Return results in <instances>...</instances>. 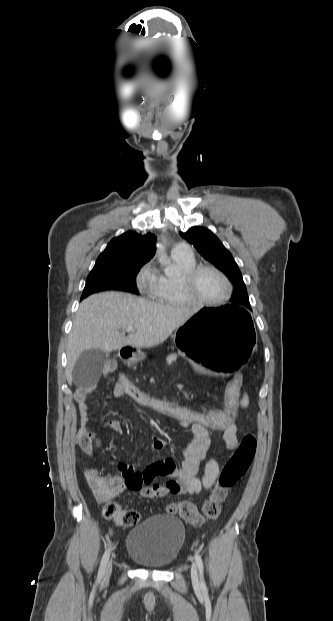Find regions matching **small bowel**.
<instances>
[{
  "label": "small bowel",
  "instance_id": "1",
  "mask_svg": "<svg viewBox=\"0 0 333 621\" xmlns=\"http://www.w3.org/2000/svg\"><path fill=\"white\" fill-rule=\"evenodd\" d=\"M95 386L86 384L80 386L75 392V399L78 403L80 428L77 432V441L81 448L91 454L94 446L99 444L96 433L88 429L89 405L87 400L92 394ZM113 393L116 397H121L122 392L114 385ZM248 403V397L243 394L240 398V406L245 407ZM184 427L190 429L192 433L191 441L182 448V463L177 466L170 457L158 460L139 470L137 463H123L119 465L122 477L118 475H110L119 483L115 496L122 493L125 489L124 480L132 478L135 482L132 489L137 491L141 496L146 498H162L169 495L200 494L203 490L211 488L219 476V461L217 458H211L207 461L203 475L198 476L199 467L204 460L209 448V436L207 427L202 425H187ZM106 427L114 433L121 435L122 427L119 421L110 420ZM223 430L224 446L227 450H234L238 445L237 424L232 422ZM166 442L159 438L151 439V449L159 452L164 449ZM158 477H164V482H158Z\"/></svg>",
  "mask_w": 333,
  "mask_h": 621
}]
</instances>
